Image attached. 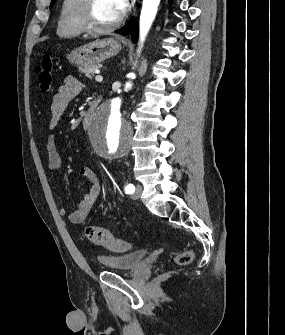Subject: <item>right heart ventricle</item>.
I'll list each match as a JSON object with an SVG mask.
<instances>
[{"label":"right heart ventricle","mask_w":285,"mask_h":335,"mask_svg":"<svg viewBox=\"0 0 285 335\" xmlns=\"http://www.w3.org/2000/svg\"><path fill=\"white\" fill-rule=\"evenodd\" d=\"M82 1H62L56 33L61 39L79 38L84 30L80 23Z\"/></svg>","instance_id":"1"}]
</instances>
